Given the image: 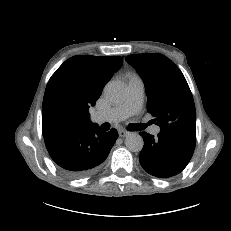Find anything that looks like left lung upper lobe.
<instances>
[{
  "label": "left lung upper lobe",
  "mask_w": 231,
  "mask_h": 231,
  "mask_svg": "<svg viewBox=\"0 0 231 231\" xmlns=\"http://www.w3.org/2000/svg\"><path fill=\"white\" fill-rule=\"evenodd\" d=\"M125 59L144 82L147 110L155 117L160 132L196 137L194 100L179 68L161 54H134Z\"/></svg>",
  "instance_id": "left-lung-upper-lobe-1"
}]
</instances>
